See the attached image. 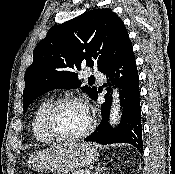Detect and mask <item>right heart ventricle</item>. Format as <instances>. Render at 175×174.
Returning a JSON list of instances; mask_svg holds the SVG:
<instances>
[{"mask_svg":"<svg viewBox=\"0 0 175 174\" xmlns=\"http://www.w3.org/2000/svg\"><path fill=\"white\" fill-rule=\"evenodd\" d=\"M54 102L53 98H45L42 100L33 115L32 119V132L35 139L43 144L51 143L54 140L47 134L44 127V117L45 114L50 107V105Z\"/></svg>","mask_w":175,"mask_h":174,"instance_id":"e07e8e85","label":"right heart ventricle"}]
</instances>
